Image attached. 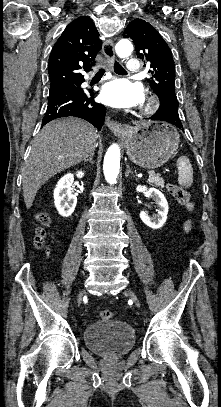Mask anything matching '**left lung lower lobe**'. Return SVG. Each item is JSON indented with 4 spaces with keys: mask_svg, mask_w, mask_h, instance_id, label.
<instances>
[{
    "mask_svg": "<svg viewBox=\"0 0 221 407\" xmlns=\"http://www.w3.org/2000/svg\"><path fill=\"white\" fill-rule=\"evenodd\" d=\"M150 119L167 121V122L174 124L175 126H177L180 129L183 128L181 121L179 119V115L177 116L176 113H173V112L167 110V108L163 105H160L158 111L154 115H152L150 117Z\"/></svg>",
    "mask_w": 221,
    "mask_h": 407,
    "instance_id": "left-lung-lower-lobe-1",
    "label": "left lung lower lobe"
}]
</instances>
